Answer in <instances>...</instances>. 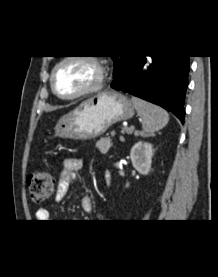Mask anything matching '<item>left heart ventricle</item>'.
Segmentation results:
<instances>
[{"label": "left heart ventricle", "instance_id": "1", "mask_svg": "<svg viewBox=\"0 0 218 277\" xmlns=\"http://www.w3.org/2000/svg\"><path fill=\"white\" fill-rule=\"evenodd\" d=\"M94 71L87 64L69 62L61 67L55 76V86L62 95H73L88 85Z\"/></svg>", "mask_w": 218, "mask_h": 277}]
</instances>
